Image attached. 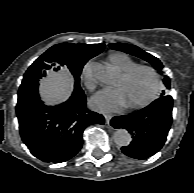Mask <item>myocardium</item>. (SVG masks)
<instances>
[{
  "label": "myocardium",
  "instance_id": "myocardium-1",
  "mask_svg": "<svg viewBox=\"0 0 194 193\" xmlns=\"http://www.w3.org/2000/svg\"><path fill=\"white\" fill-rule=\"evenodd\" d=\"M139 70L148 71L152 75L153 87H152L151 92L149 93V95L145 99H143L137 103H134V104L126 105V108L130 109V110L138 109V108H141V107H144V106L150 104L155 99V97L157 96L159 89H160L159 74L155 68H153L152 66H149V65L137 64V65L133 66L132 68L128 69L127 71L123 72L121 74V78L126 80V79L130 78L134 73H136Z\"/></svg>",
  "mask_w": 194,
  "mask_h": 193
}]
</instances>
